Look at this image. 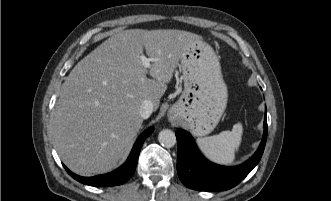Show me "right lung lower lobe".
Wrapping results in <instances>:
<instances>
[{"label": "right lung lower lobe", "instance_id": "obj_1", "mask_svg": "<svg viewBox=\"0 0 331 201\" xmlns=\"http://www.w3.org/2000/svg\"><path fill=\"white\" fill-rule=\"evenodd\" d=\"M152 132H153V127L147 129L143 134H141V136H139V138L137 139L127 161L120 168L116 169L111 173L99 175L95 177H81L72 173L65 166L64 167L71 177L86 185L95 186V187H105V186H116L123 184L133 175L136 169L141 147L145 139Z\"/></svg>", "mask_w": 331, "mask_h": 201}]
</instances>
